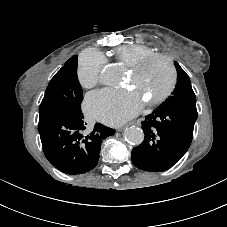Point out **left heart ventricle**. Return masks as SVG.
Instances as JSON below:
<instances>
[{
    "mask_svg": "<svg viewBox=\"0 0 227 227\" xmlns=\"http://www.w3.org/2000/svg\"><path fill=\"white\" fill-rule=\"evenodd\" d=\"M171 73L163 59L151 62L142 72H130L126 84L136 89L145 100H153L160 96L169 86Z\"/></svg>",
    "mask_w": 227,
    "mask_h": 227,
    "instance_id": "b2bd125f",
    "label": "left heart ventricle"
}]
</instances>
